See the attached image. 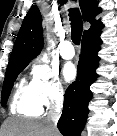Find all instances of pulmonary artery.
<instances>
[{
  "mask_svg": "<svg viewBox=\"0 0 117 136\" xmlns=\"http://www.w3.org/2000/svg\"><path fill=\"white\" fill-rule=\"evenodd\" d=\"M60 54L64 59H72L74 57L75 50L69 40H66L62 43Z\"/></svg>",
  "mask_w": 117,
  "mask_h": 136,
  "instance_id": "pulmonary-artery-1",
  "label": "pulmonary artery"
}]
</instances>
